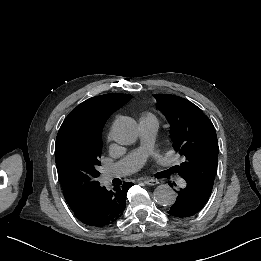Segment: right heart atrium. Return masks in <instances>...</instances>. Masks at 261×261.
<instances>
[{"label":"right heart atrium","mask_w":261,"mask_h":261,"mask_svg":"<svg viewBox=\"0 0 261 261\" xmlns=\"http://www.w3.org/2000/svg\"><path fill=\"white\" fill-rule=\"evenodd\" d=\"M107 140L110 142L113 140V136H112V132L110 131L108 136H107Z\"/></svg>","instance_id":"right-heart-atrium-1"}]
</instances>
